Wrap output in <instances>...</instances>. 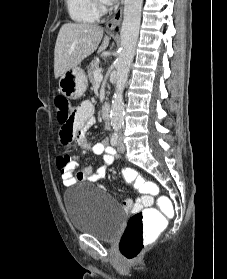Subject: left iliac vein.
Listing matches in <instances>:
<instances>
[{
    "instance_id": "obj_1",
    "label": "left iliac vein",
    "mask_w": 227,
    "mask_h": 279,
    "mask_svg": "<svg viewBox=\"0 0 227 279\" xmlns=\"http://www.w3.org/2000/svg\"><path fill=\"white\" fill-rule=\"evenodd\" d=\"M117 149L120 153H124L126 150V146L123 142V136L119 137Z\"/></svg>"
}]
</instances>
